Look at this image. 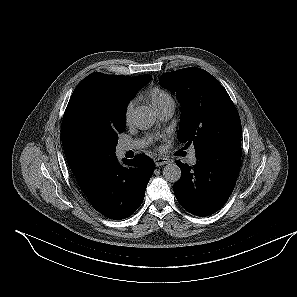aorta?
Instances as JSON below:
<instances>
[{
	"label": "aorta",
	"mask_w": 297,
	"mask_h": 297,
	"mask_svg": "<svg viewBox=\"0 0 297 297\" xmlns=\"http://www.w3.org/2000/svg\"><path fill=\"white\" fill-rule=\"evenodd\" d=\"M155 112L149 106H138L133 113V122L139 129L151 128L155 123ZM166 181L175 183L181 177V169L175 163L167 164L163 169Z\"/></svg>",
	"instance_id": "762f6f07"
}]
</instances>
